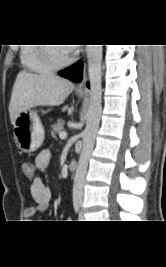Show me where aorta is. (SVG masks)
<instances>
[{"mask_svg": "<svg viewBox=\"0 0 166 267\" xmlns=\"http://www.w3.org/2000/svg\"><path fill=\"white\" fill-rule=\"evenodd\" d=\"M86 50L90 80V103L86 115L87 125L83 133V148L73 183V200L78 202L82 200L84 179L98 132L102 110V45H87Z\"/></svg>", "mask_w": 166, "mask_h": 267, "instance_id": "obj_1", "label": "aorta"}]
</instances>
